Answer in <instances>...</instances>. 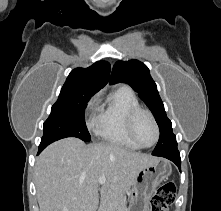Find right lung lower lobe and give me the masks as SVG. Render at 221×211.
<instances>
[{
	"label": "right lung lower lobe",
	"instance_id": "98d812e1",
	"mask_svg": "<svg viewBox=\"0 0 221 211\" xmlns=\"http://www.w3.org/2000/svg\"><path fill=\"white\" fill-rule=\"evenodd\" d=\"M48 145H49V144H43V145L40 144L38 154H39L44 148H46Z\"/></svg>",
	"mask_w": 221,
	"mask_h": 211
}]
</instances>
